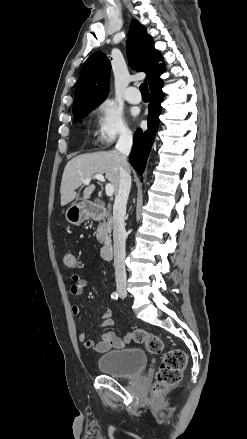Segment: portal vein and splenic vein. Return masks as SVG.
I'll return each mask as SVG.
<instances>
[{
	"instance_id": "obj_1",
	"label": "portal vein and splenic vein",
	"mask_w": 247,
	"mask_h": 439,
	"mask_svg": "<svg viewBox=\"0 0 247 439\" xmlns=\"http://www.w3.org/2000/svg\"><path fill=\"white\" fill-rule=\"evenodd\" d=\"M92 179H97V180H99L101 182H105V177L102 174H95L93 177L86 178L83 181V183L85 185H88L91 182ZM105 191H106V195L107 196H109V197L112 196L113 193H114V186L112 184H110V183H107L105 185Z\"/></svg>"
}]
</instances>
